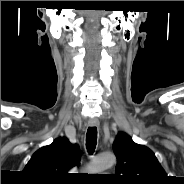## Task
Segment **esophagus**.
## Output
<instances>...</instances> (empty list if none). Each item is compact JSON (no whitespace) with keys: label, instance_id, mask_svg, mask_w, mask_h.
I'll use <instances>...</instances> for the list:
<instances>
[{"label":"esophagus","instance_id":"esophagus-1","mask_svg":"<svg viewBox=\"0 0 184 184\" xmlns=\"http://www.w3.org/2000/svg\"><path fill=\"white\" fill-rule=\"evenodd\" d=\"M88 125L90 127H97L99 126V120L97 118H90L88 121Z\"/></svg>","mask_w":184,"mask_h":184}]
</instances>
